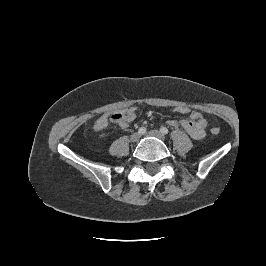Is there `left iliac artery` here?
<instances>
[{
    "instance_id": "obj_1",
    "label": "left iliac artery",
    "mask_w": 266,
    "mask_h": 266,
    "mask_svg": "<svg viewBox=\"0 0 266 266\" xmlns=\"http://www.w3.org/2000/svg\"><path fill=\"white\" fill-rule=\"evenodd\" d=\"M160 132H161L162 134H168V129H167L166 127H161V128H160Z\"/></svg>"
}]
</instances>
